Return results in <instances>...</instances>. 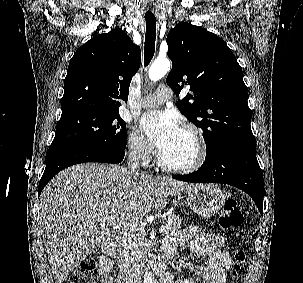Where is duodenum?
Returning a JSON list of instances; mask_svg holds the SVG:
<instances>
[{
  "label": "duodenum",
  "instance_id": "1",
  "mask_svg": "<svg viewBox=\"0 0 303 283\" xmlns=\"http://www.w3.org/2000/svg\"><path fill=\"white\" fill-rule=\"evenodd\" d=\"M107 252H113L114 248L111 245L106 247ZM150 271H154L162 275V279L165 275L168 274L166 265L163 262H155L152 264H143L139 268H135L127 272L124 282L125 283H140V280L143 276L148 274Z\"/></svg>",
  "mask_w": 303,
  "mask_h": 283
}]
</instances>
